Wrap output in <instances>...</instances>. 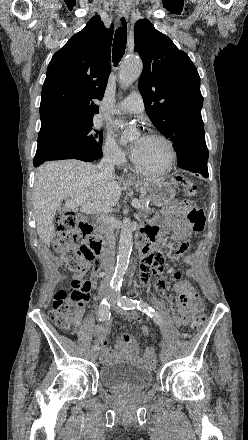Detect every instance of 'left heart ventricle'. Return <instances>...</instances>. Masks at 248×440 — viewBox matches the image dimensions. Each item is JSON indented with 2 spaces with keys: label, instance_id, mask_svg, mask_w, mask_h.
I'll return each instance as SVG.
<instances>
[{
  "label": "left heart ventricle",
  "instance_id": "b2bd125f",
  "mask_svg": "<svg viewBox=\"0 0 248 440\" xmlns=\"http://www.w3.org/2000/svg\"><path fill=\"white\" fill-rule=\"evenodd\" d=\"M168 149L158 139L146 137L139 154L134 158L135 163L145 169L157 170L166 165Z\"/></svg>",
  "mask_w": 248,
  "mask_h": 440
}]
</instances>
